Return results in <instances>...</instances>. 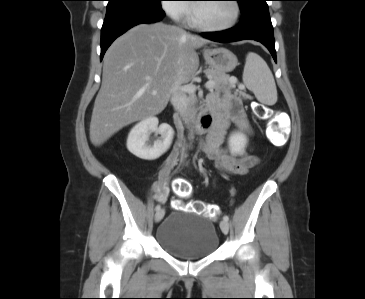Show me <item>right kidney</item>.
<instances>
[{"label":"right kidney","instance_id":"ca27d5eb","mask_svg":"<svg viewBox=\"0 0 365 299\" xmlns=\"http://www.w3.org/2000/svg\"><path fill=\"white\" fill-rule=\"evenodd\" d=\"M156 117H148L136 124L127 138V149L136 157L144 160H155L170 147L173 139V129L168 124L158 126ZM150 132L161 135L160 139L148 143Z\"/></svg>","mask_w":365,"mask_h":299}]
</instances>
